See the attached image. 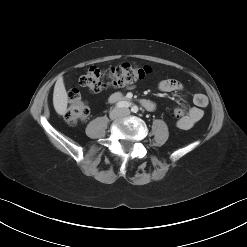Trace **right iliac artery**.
I'll list each match as a JSON object with an SVG mask.
<instances>
[{
    "label": "right iliac artery",
    "mask_w": 247,
    "mask_h": 247,
    "mask_svg": "<svg viewBox=\"0 0 247 247\" xmlns=\"http://www.w3.org/2000/svg\"><path fill=\"white\" fill-rule=\"evenodd\" d=\"M116 106H117L118 108H124V107L128 108V107L131 106V103H129V102H127V101H120V102H118V103L116 104Z\"/></svg>",
    "instance_id": "right-iliac-artery-1"
}]
</instances>
